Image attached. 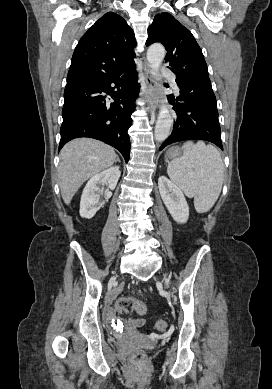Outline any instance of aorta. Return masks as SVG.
<instances>
[{
    "mask_svg": "<svg viewBox=\"0 0 272 389\" xmlns=\"http://www.w3.org/2000/svg\"><path fill=\"white\" fill-rule=\"evenodd\" d=\"M166 51L163 45L153 44L148 48L147 60L150 64L152 72L157 80L160 79L159 67L165 57ZM166 100H163L164 103ZM173 125L172 115L166 105H162L159 111L158 119L156 121L154 137L158 142H162L168 138L171 133Z\"/></svg>",
    "mask_w": 272,
    "mask_h": 389,
    "instance_id": "obj_1",
    "label": "aorta"
}]
</instances>
